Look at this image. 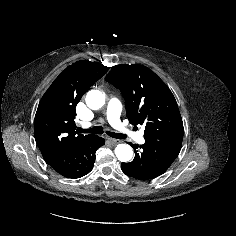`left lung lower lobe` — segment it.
Returning a JSON list of instances; mask_svg holds the SVG:
<instances>
[{
    "label": "left lung lower lobe",
    "mask_w": 236,
    "mask_h": 236,
    "mask_svg": "<svg viewBox=\"0 0 236 236\" xmlns=\"http://www.w3.org/2000/svg\"><path fill=\"white\" fill-rule=\"evenodd\" d=\"M183 136L162 139H145L140 145L141 152L136 151L132 162L122 163V171L138 180H151L162 175L177 158L182 147Z\"/></svg>",
    "instance_id": "left-lung-lower-lobe-1"
}]
</instances>
